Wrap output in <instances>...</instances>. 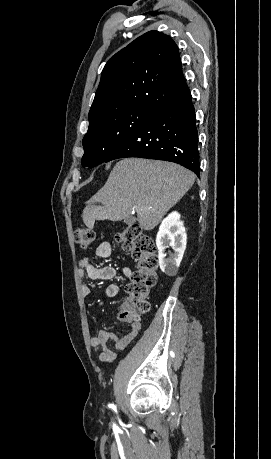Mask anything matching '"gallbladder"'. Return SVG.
Wrapping results in <instances>:
<instances>
[{
    "instance_id": "1",
    "label": "gallbladder",
    "mask_w": 271,
    "mask_h": 459,
    "mask_svg": "<svg viewBox=\"0 0 271 459\" xmlns=\"http://www.w3.org/2000/svg\"><path fill=\"white\" fill-rule=\"evenodd\" d=\"M125 224H132L134 222L133 218H129V220H124Z\"/></svg>"
}]
</instances>
